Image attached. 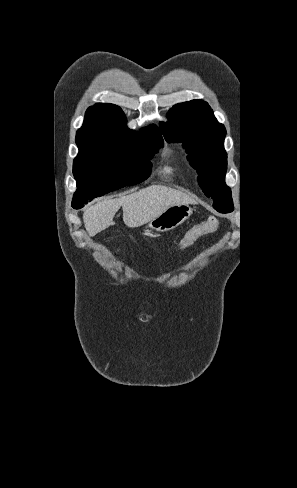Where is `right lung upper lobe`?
I'll list each match as a JSON object with an SVG mask.
<instances>
[{"mask_svg":"<svg viewBox=\"0 0 297 488\" xmlns=\"http://www.w3.org/2000/svg\"><path fill=\"white\" fill-rule=\"evenodd\" d=\"M126 124V116L120 107L109 103L95 104L86 112L84 124L76 134V144L78 147H85L104 139L134 137L133 131ZM141 132H149L162 138L155 125L144 128Z\"/></svg>","mask_w":297,"mask_h":488,"instance_id":"1","label":"right lung upper lobe"}]
</instances>
